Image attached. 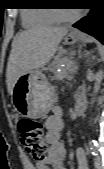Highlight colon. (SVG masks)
<instances>
[{
    "label": "colon",
    "instance_id": "colon-1",
    "mask_svg": "<svg viewBox=\"0 0 104 169\" xmlns=\"http://www.w3.org/2000/svg\"><path fill=\"white\" fill-rule=\"evenodd\" d=\"M25 150L36 161L46 158L48 147L43 139V125L32 119H21L17 125Z\"/></svg>",
    "mask_w": 104,
    "mask_h": 169
}]
</instances>
